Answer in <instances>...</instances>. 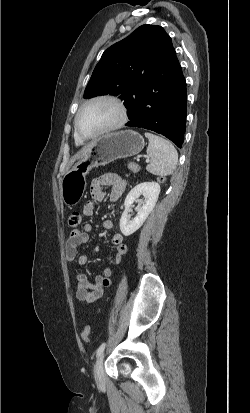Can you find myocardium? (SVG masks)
I'll return each instance as SVG.
<instances>
[{"label":"myocardium","mask_w":250,"mask_h":413,"mask_svg":"<svg viewBox=\"0 0 250 413\" xmlns=\"http://www.w3.org/2000/svg\"><path fill=\"white\" fill-rule=\"evenodd\" d=\"M96 102H109L112 103L119 112V117L117 119V121L108 126L107 128L93 134V135H84L80 132L79 130V126H78V121H79V117L82 113V111L89 105L96 103ZM128 122V110L126 105L124 104V102L117 96L115 95H111V94H102V95H97L94 96L88 100H86L78 109L76 115H75V119H74V129H75V134L76 136L81 139L82 141H86V140H93V139H97L100 138L104 135L113 133L115 131H118L119 129L123 128L126 123Z\"/></svg>","instance_id":"f54148a6"}]
</instances>
